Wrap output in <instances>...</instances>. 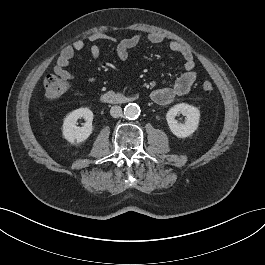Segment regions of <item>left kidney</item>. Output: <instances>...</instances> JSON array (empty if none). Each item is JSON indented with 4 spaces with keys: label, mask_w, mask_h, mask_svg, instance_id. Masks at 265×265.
Instances as JSON below:
<instances>
[{
    "label": "left kidney",
    "mask_w": 265,
    "mask_h": 265,
    "mask_svg": "<svg viewBox=\"0 0 265 265\" xmlns=\"http://www.w3.org/2000/svg\"><path fill=\"white\" fill-rule=\"evenodd\" d=\"M179 113L186 116L185 123H179L175 119V116ZM166 120L175 136L186 138L197 130L200 121V111L198 108L186 103L177 104L169 109L166 114Z\"/></svg>",
    "instance_id": "left-kidney-1"
}]
</instances>
